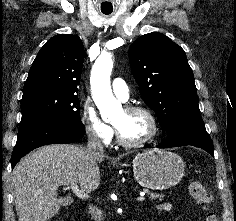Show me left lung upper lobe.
<instances>
[{
	"label": "left lung upper lobe",
	"instance_id": "1",
	"mask_svg": "<svg viewBox=\"0 0 236 221\" xmlns=\"http://www.w3.org/2000/svg\"><path fill=\"white\" fill-rule=\"evenodd\" d=\"M129 59L140 94L164 131L203 122L194 75L179 45L162 33H148L130 46Z\"/></svg>",
	"mask_w": 236,
	"mask_h": 221
}]
</instances>
